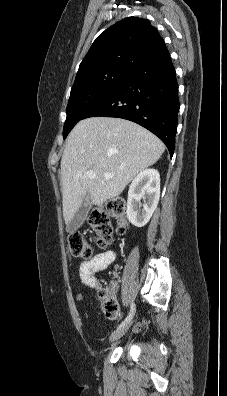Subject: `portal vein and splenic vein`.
<instances>
[{
  "label": "portal vein and splenic vein",
  "mask_w": 227,
  "mask_h": 396,
  "mask_svg": "<svg viewBox=\"0 0 227 396\" xmlns=\"http://www.w3.org/2000/svg\"><path fill=\"white\" fill-rule=\"evenodd\" d=\"M87 176L89 177V178H95L96 177V174H95V172H93V171H88L87 172ZM104 176L106 177V178H112L113 177V175L112 174H109V173H105L104 174Z\"/></svg>",
  "instance_id": "1"
}]
</instances>
